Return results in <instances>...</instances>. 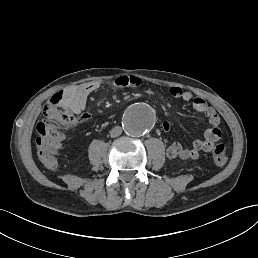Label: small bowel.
Segmentation results:
<instances>
[{
    "label": "small bowel",
    "mask_w": 258,
    "mask_h": 258,
    "mask_svg": "<svg viewBox=\"0 0 258 258\" xmlns=\"http://www.w3.org/2000/svg\"><path fill=\"white\" fill-rule=\"evenodd\" d=\"M111 85L116 88L139 87L142 85V80L136 76H119L112 81ZM101 86L100 82H88L78 87H69L54 95L51 98V102L75 114H80L85 109L88 96L101 88ZM169 92L175 98L191 102L195 111L207 117L209 128L205 130L203 138L193 141L190 147H185L178 142L170 144L166 149L167 157L170 159H197L201 152H210L214 144L221 138V121L215 109L208 105L203 98L194 97L191 92L180 87L173 86L169 89ZM84 115L86 119L89 118L88 114ZM162 126L164 130H168L170 123L164 121ZM40 161L49 170H54L57 167V162H44L41 158Z\"/></svg>",
    "instance_id": "small-bowel-1"
}]
</instances>
